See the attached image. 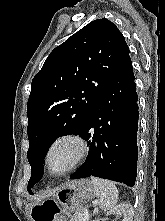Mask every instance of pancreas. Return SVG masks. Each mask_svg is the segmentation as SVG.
Instances as JSON below:
<instances>
[{
    "mask_svg": "<svg viewBox=\"0 0 165 221\" xmlns=\"http://www.w3.org/2000/svg\"><path fill=\"white\" fill-rule=\"evenodd\" d=\"M85 209L82 208L71 217L70 221H84Z\"/></svg>",
    "mask_w": 165,
    "mask_h": 221,
    "instance_id": "obj_1",
    "label": "pancreas"
}]
</instances>
